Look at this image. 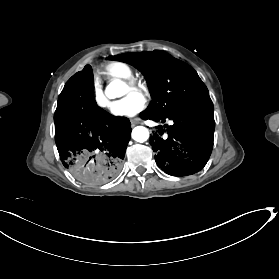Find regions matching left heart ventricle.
<instances>
[{
    "instance_id": "obj_1",
    "label": "left heart ventricle",
    "mask_w": 279,
    "mask_h": 279,
    "mask_svg": "<svg viewBox=\"0 0 279 279\" xmlns=\"http://www.w3.org/2000/svg\"><path fill=\"white\" fill-rule=\"evenodd\" d=\"M130 94H133V92L127 86L122 85L120 97L124 98Z\"/></svg>"
}]
</instances>
